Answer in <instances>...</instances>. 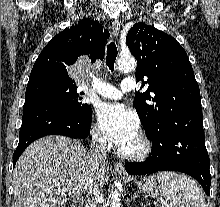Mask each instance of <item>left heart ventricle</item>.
I'll list each match as a JSON object with an SVG mask.
<instances>
[{
	"mask_svg": "<svg viewBox=\"0 0 220 207\" xmlns=\"http://www.w3.org/2000/svg\"><path fill=\"white\" fill-rule=\"evenodd\" d=\"M140 147L141 143L137 135L133 140L122 146L120 149L124 152L132 153L138 151Z\"/></svg>",
	"mask_w": 220,
	"mask_h": 207,
	"instance_id": "b2bd125f",
	"label": "left heart ventricle"
}]
</instances>
